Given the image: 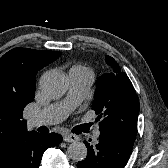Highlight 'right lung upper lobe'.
Segmentation results:
<instances>
[{
	"mask_svg": "<svg viewBox=\"0 0 168 168\" xmlns=\"http://www.w3.org/2000/svg\"><path fill=\"white\" fill-rule=\"evenodd\" d=\"M61 55L56 51L14 48L0 58V155L27 132L24 107L34 100L37 72Z\"/></svg>",
	"mask_w": 168,
	"mask_h": 168,
	"instance_id": "1",
	"label": "right lung upper lobe"
}]
</instances>
